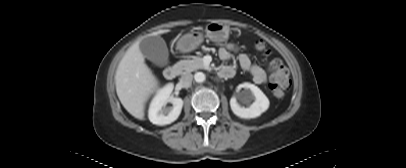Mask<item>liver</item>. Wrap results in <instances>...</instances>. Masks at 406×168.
Wrapping results in <instances>:
<instances>
[{
	"mask_svg": "<svg viewBox=\"0 0 406 168\" xmlns=\"http://www.w3.org/2000/svg\"><path fill=\"white\" fill-rule=\"evenodd\" d=\"M170 30H159L151 34L157 36ZM134 43L126 51L115 73L117 96L123 107L135 118L143 120L145 104L158 89L159 82L145 63L144 55Z\"/></svg>",
	"mask_w": 406,
	"mask_h": 168,
	"instance_id": "obj_1",
	"label": "liver"
}]
</instances>
